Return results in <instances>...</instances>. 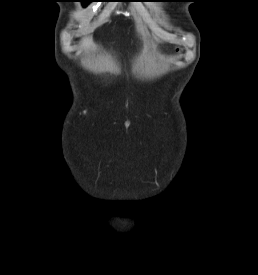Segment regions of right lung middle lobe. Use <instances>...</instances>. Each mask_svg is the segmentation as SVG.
<instances>
[{
  "mask_svg": "<svg viewBox=\"0 0 258 275\" xmlns=\"http://www.w3.org/2000/svg\"><path fill=\"white\" fill-rule=\"evenodd\" d=\"M91 0H81L84 6H87Z\"/></svg>",
  "mask_w": 258,
  "mask_h": 275,
  "instance_id": "right-lung-middle-lobe-1",
  "label": "right lung middle lobe"
}]
</instances>
